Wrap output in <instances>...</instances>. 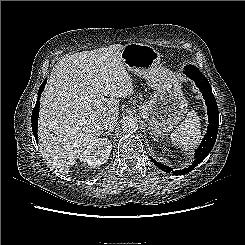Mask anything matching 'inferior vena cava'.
I'll return each mask as SVG.
<instances>
[{
	"mask_svg": "<svg viewBox=\"0 0 245 245\" xmlns=\"http://www.w3.org/2000/svg\"><path fill=\"white\" fill-rule=\"evenodd\" d=\"M116 125H117V118L113 116H108L102 120L101 126L103 129L110 131L113 130Z\"/></svg>",
	"mask_w": 245,
	"mask_h": 245,
	"instance_id": "1",
	"label": "inferior vena cava"
}]
</instances>
